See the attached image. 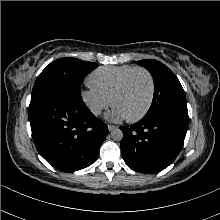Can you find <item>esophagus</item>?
Instances as JSON below:
<instances>
[{
  "mask_svg": "<svg viewBox=\"0 0 220 220\" xmlns=\"http://www.w3.org/2000/svg\"><path fill=\"white\" fill-rule=\"evenodd\" d=\"M108 129H109V131H113V130L117 129V126H115V125H108Z\"/></svg>",
  "mask_w": 220,
  "mask_h": 220,
  "instance_id": "1",
  "label": "esophagus"
}]
</instances>
